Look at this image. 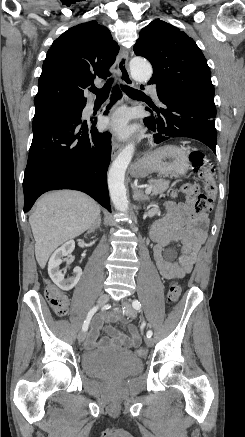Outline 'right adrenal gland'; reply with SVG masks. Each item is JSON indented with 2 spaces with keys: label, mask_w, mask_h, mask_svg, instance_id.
I'll return each instance as SVG.
<instances>
[{
  "label": "right adrenal gland",
  "mask_w": 245,
  "mask_h": 437,
  "mask_svg": "<svg viewBox=\"0 0 245 437\" xmlns=\"http://www.w3.org/2000/svg\"><path fill=\"white\" fill-rule=\"evenodd\" d=\"M101 226V215L98 216L96 223L88 230V233L93 232L95 229Z\"/></svg>",
  "instance_id": "1"
}]
</instances>
